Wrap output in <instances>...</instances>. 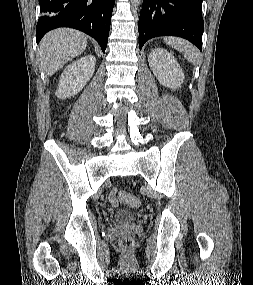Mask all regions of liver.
<instances>
[{
	"label": "liver",
	"mask_w": 253,
	"mask_h": 285,
	"mask_svg": "<svg viewBox=\"0 0 253 285\" xmlns=\"http://www.w3.org/2000/svg\"><path fill=\"white\" fill-rule=\"evenodd\" d=\"M87 46V36L69 28L55 29L47 33L40 42L41 67L52 76L65 63L81 54Z\"/></svg>",
	"instance_id": "6515ba94"
}]
</instances>
